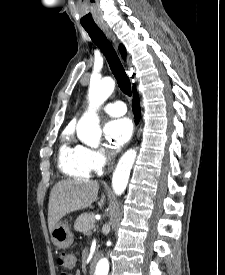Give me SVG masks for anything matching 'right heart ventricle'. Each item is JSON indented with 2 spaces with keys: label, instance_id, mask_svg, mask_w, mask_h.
I'll return each instance as SVG.
<instances>
[{
  "label": "right heart ventricle",
  "instance_id": "obj_1",
  "mask_svg": "<svg viewBox=\"0 0 225 275\" xmlns=\"http://www.w3.org/2000/svg\"><path fill=\"white\" fill-rule=\"evenodd\" d=\"M69 135H66L68 139ZM59 167L66 175L77 178H89L92 170L86 163L81 148L78 146H70L65 142L59 153Z\"/></svg>",
  "mask_w": 225,
  "mask_h": 275
}]
</instances>
